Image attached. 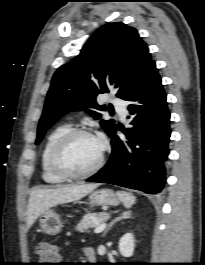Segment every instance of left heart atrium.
Instances as JSON below:
<instances>
[{"label": "left heart atrium", "instance_id": "1", "mask_svg": "<svg viewBox=\"0 0 205 265\" xmlns=\"http://www.w3.org/2000/svg\"><path fill=\"white\" fill-rule=\"evenodd\" d=\"M98 141V143H99V146H100V148L102 149L103 148V143H102V141L101 140H97Z\"/></svg>", "mask_w": 205, "mask_h": 265}]
</instances>
